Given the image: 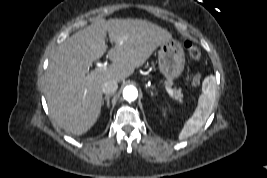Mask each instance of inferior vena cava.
<instances>
[{
    "mask_svg": "<svg viewBox=\"0 0 267 178\" xmlns=\"http://www.w3.org/2000/svg\"><path fill=\"white\" fill-rule=\"evenodd\" d=\"M118 84L115 80H107L102 84V92L106 95H112L117 91Z\"/></svg>",
    "mask_w": 267,
    "mask_h": 178,
    "instance_id": "obj_1",
    "label": "inferior vena cava"
}]
</instances>
